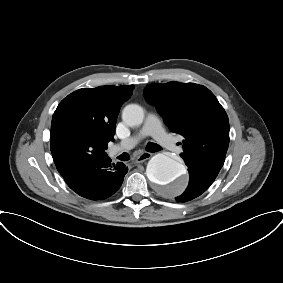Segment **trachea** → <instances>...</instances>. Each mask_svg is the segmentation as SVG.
<instances>
[{
  "label": "trachea",
  "instance_id": "trachea-1",
  "mask_svg": "<svg viewBox=\"0 0 283 283\" xmlns=\"http://www.w3.org/2000/svg\"><path fill=\"white\" fill-rule=\"evenodd\" d=\"M146 150L149 152H157L161 150V147L159 145H157L156 143H148L146 146ZM129 159L128 154L123 153L121 155V160L123 161H127Z\"/></svg>",
  "mask_w": 283,
  "mask_h": 283
}]
</instances>
